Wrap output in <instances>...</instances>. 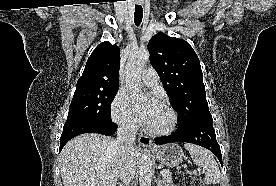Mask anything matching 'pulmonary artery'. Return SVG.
<instances>
[{
    "instance_id": "obj_1",
    "label": "pulmonary artery",
    "mask_w": 276,
    "mask_h": 186,
    "mask_svg": "<svg viewBox=\"0 0 276 186\" xmlns=\"http://www.w3.org/2000/svg\"><path fill=\"white\" fill-rule=\"evenodd\" d=\"M141 81L146 86H155L158 83V74L152 68H146L141 74Z\"/></svg>"
}]
</instances>
